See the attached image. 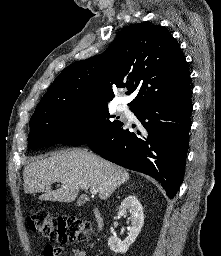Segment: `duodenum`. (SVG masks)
Returning <instances> with one entry per match:
<instances>
[{
  "instance_id": "duodenum-1",
  "label": "duodenum",
  "mask_w": 221,
  "mask_h": 256,
  "mask_svg": "<svg viewBox=\"0 0 221 256\" xmlns=\"http://www.w3.org/2000/svg\"><path fill=\"white\" fill-rule=\"evenodd\" d=\"M94 214L98 229H102L104 222L101 213L98 210H95Z\"/></svg>"
}]
</instances>
